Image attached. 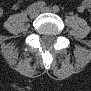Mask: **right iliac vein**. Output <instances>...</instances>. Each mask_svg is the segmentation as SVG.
I'll list each match as a JSON object with an SVG mask.
<instances>
[{"label": "right iliac vein", "mask_w": 91, "mask_h": 91, "mask_svg": "<svg viewBox=\"0 0 91 91\" xmlns=\"http://www.w3.org/2000/svg\"><path fill=\"white\" fill-rule=\"evenodd\" d=\"M38 14H39V11L34 10V11L29 13V16H30L31 19H34V18H36L38 16Z\"/></svg>", "instance_id": "1"}]
</instances>
